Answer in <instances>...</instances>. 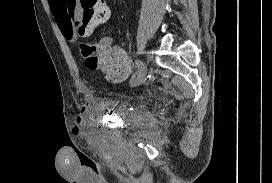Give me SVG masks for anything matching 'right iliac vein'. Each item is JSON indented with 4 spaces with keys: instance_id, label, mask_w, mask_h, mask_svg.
<instances>
[{
    "instance_id": "right-iliac-vein-1",
    "label": "right iliac vein",
    "mask_w": 272,
    "mask_h": 183,
    "mask_svg": "<svg viewBox=\"0 0 272 183\" xmlns=\"http://www.w3.org/2000/svg\"><path fill=\"white\" fill-rule=\"evenodd\" d=\"M139 70H142L143 73H142V75L140 76V78H137L136 81H132V82H131V85H133V86L140 85V84L143 82L144 77H145V73H146V66H145V64H143V65L140 67Z\"/></svg>"
}]
</instances>
